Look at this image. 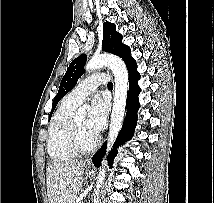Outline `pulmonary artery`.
<instances>
[{
	"mask_svg": "<svg viewBox=\"0 0 214 203\" xmlns=\"http://www.w3.org/2000/svg\"><path fill=\"white\" fill-rule=\"evenodd\" d=\"M108 83V75L97 73L83 79L68 95V99L75 103H82L99 85Z\"/></svg>",
	"mask_w": 214,
	"mask_h": 203,
	"instance_id": "obj_1",
	"label": "pulmonary artery"
}]
</instances>
